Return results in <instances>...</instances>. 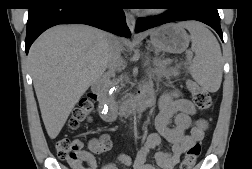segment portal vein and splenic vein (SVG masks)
Returning <instances> with one entry per match:
<instances>
[{
	"instance_id": "1",
	"label": "portal vein and splenic vein",
	"mask_w": 252,
	"mask_h": 169,
	"mask_svg": "<svg viewBox=\"0 0 252 169\" xmlns=\"http://www.w3.org/2000/svg\"><path fill=\"white\" fill-rule=\"evenodd\" d=\"M191 58H192V55H191V54H188L187 59H188V60H191ZM167 61L170 62V60H167Z\"/></svg>"
}]
</instances>
